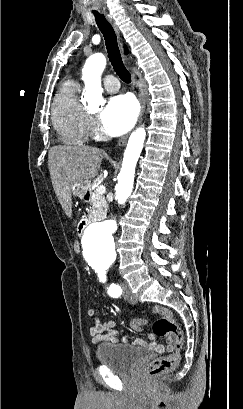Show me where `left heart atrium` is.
<instances>
[{
  "instance_id": "39dd6f15",
  "label": "left heart atrium",
  "mask_w": 243,
  "mask_h": 409,
  "mask_svg": "<svg viewBox=\"0 0 243 409\" xmlns=\"http://www.w3.org/2000/svg\"><path fill=\"white\" fill-rule=\"evenodd\" d=\"M138 109L129 95L111 97L100 114L102 130L109 136L126 133L134 125Z\"/></svg>"
}]
</instances>
